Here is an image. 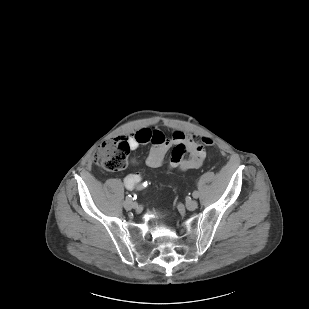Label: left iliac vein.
Returning a JSON list of instances; mask_svg holds the SVG:
<instances>
[{"label":"left iliac vein","mask_w":309,"mask_h":309,"mask_svg":"<svg viewBox=\"0 0 309 309\" xmlns=\"http://www.w3.org/2000/svg\"><path fill=\"white\" fill-rule=\"evenodd\" d=\"M197 207H198V202L196 200H188L186 202V208L188 210L193 211V210L197 209Z\"/></svg>","instance_id":"left-iliac-vein-1"}]
</instances>
